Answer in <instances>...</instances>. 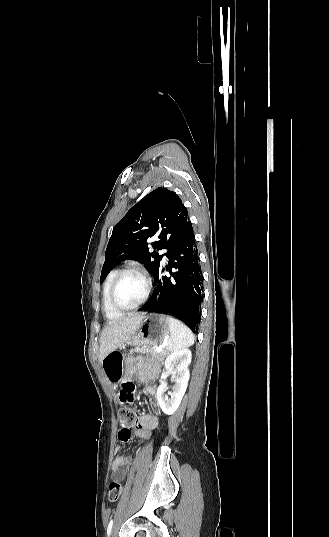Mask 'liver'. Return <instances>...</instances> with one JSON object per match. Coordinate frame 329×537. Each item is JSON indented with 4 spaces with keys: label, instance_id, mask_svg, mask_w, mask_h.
<instances>
[{
    "label": "liver",
    "instance_id": "1",
    "mask_svg": "<svg viewBox=\"0 0 329 537\" xmlns=\"http://www.w3.org/2000/svg\"><path fill=\"white\" fill-rule=\"evenodd\" d=\"M142 314H133L123 319L109 321L100 337L99 362L110 352L129 341L139 327Z\"/></svg>",
    "mask_w": 329,
    "mask_h": 537
}]
</instances>
